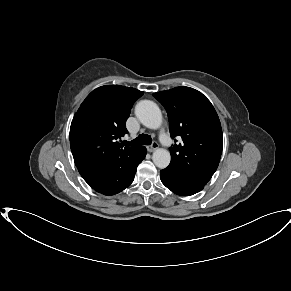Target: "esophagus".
I'll return each instance as SVG.
<instances>
[{"label": "esophagus", "mask_w": 291, "mask_h": 291, "mask_svg": "<svg viewBox=\"0 0 291 291\" xmlns=\"http://www.w3.org/2000/svg\"><path fill=\"white\" fill-rule=\"evenodd\" d=\"M158 143L157 142H153L150 146L147 147V150L149 152H153L158 148Z\"/></svg>", "instance_id": "obj_1"}]
</instances>
